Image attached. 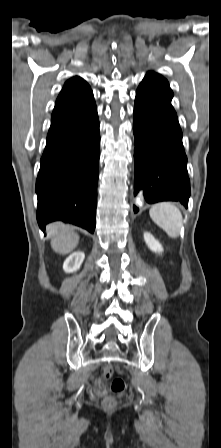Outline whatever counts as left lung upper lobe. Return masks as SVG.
Instances as JSON below:
<instances>
[{"mask_svg": "<svg viewBox=\"0 0 221 448\" xmlns=\"http://www.w3.org/2000/svg\"><path fill=\"white\" fill-rule=\"evenodd\" d=\"M139 87L167 98L173 97L168 81L158 73L148 72Z\"/></svg>", "mask_w": 221, "mask_h": 448, "instance_id": "5c2ea615", "label": "left lung upper lobe"}]
</instances>
